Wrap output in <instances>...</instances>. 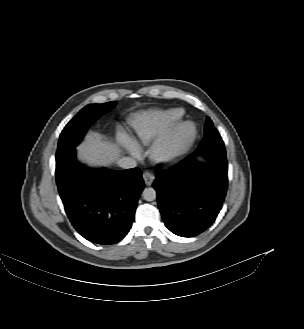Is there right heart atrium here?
Instances as JSON below:
<instances>
[{"label":"right heart atrium","instance_id":"d8ad5b80","mask_svg":"<svg viewBox=\"0 0 304 329\" xmlns=\"http://www.w3.org/2000/svg\"><path fill=\"white\" fill-rule=\"evenodd\" d=\"M119 139L131 154L137 157L140 155L137 145L127 135L120 134Z\"/></svg>","mask_w":304,"mask_h":329}]
</instances>
